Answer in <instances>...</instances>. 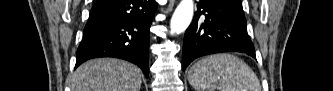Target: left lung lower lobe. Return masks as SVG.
<instances>
[{
  "label": "left lung lower lobe",
  "mask_w": 333,
  "mask_h": 91,
  "mask_svg": "<svg viewBox=\"0 0 333 91\" xmlns=\"http://www.w3.org/2000/svg\"><path fill=\"white\" fill-rule=\"evenodd\" d=\"M220 52H242L255 57L241 0L197 3V12L184 36L183 70L198 57Z\"/></svg>",
  "instance_id": "left-lung-lower-lobe-1"
}]
</instances>
